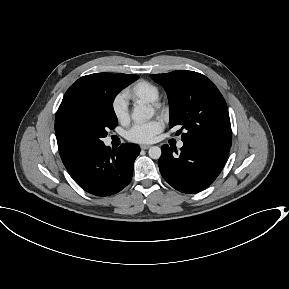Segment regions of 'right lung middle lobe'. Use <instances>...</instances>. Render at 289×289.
Listing matches in <instances>:
<instances>
[{"label": "right lung middle lobe", "mask_w": 289, "mask_h": 289, "mask_svg": "<svg viewBox=\"0 0 289 289\" xmlns=\"http://www.w3.org/2000/svg\"><path fill=\"white\" fill-rule=\"evenodd\" d=\"M138 78L135 74H114L92 96L89 107L68 112L55 123L58 148L64 163H72L104 144L102 138L107 136V130L118 124L112 106L115 96Z\"/></svg>", "instance_id": "1"}]
</instances>
